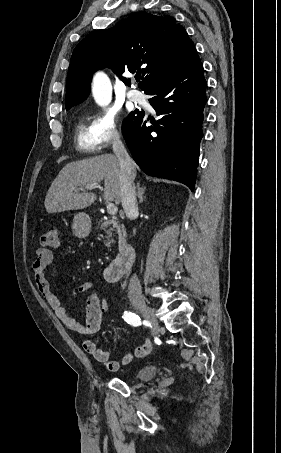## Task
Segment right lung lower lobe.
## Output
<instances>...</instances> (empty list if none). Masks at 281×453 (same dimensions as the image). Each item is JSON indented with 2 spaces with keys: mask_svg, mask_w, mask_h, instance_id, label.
<instances>
[{
  "mask_svg": "<svg viewBox=\"0 0 281 453\" xmlns=\"http://www.w3.org/2000/svg\"><path fill=\"white\" fill-rule=\"evenodd\" d=\"M207 83L197 52L144 91L158 121L146 126L144 111L131 112L122 133L132 157L151 176L171 179L192 191L196 181Z\"/></svg>",
  "mask_w": 281,
  "mask_h": 453,
  "instance_id": "1",
  "label": "right lung lower lobe"
}]
</instances>
